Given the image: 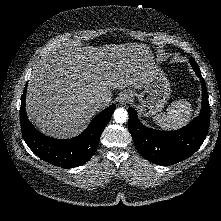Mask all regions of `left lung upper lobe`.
Returning a JSON list of instances; mask_svg holds the SVG:
<instances>
[{
    "label": "left lung upper lobe",
    "mask_w": 221,
    "mask_h": 221,
    "mask_svg": "<svg viewBox=\"0 0 221 221\" xmlns=\"http://www.w3.org/2000/svg\"><path fill=\"white\" fill-rule=\"evenodd\" d=\"M190 63L194 70H199L198 65L196 64L195 60L192 57L190 58Z\"/></svg>",
    "instance_id": "obj_1"
}]
</instances>
